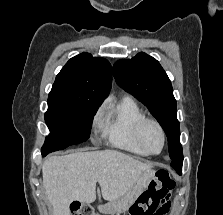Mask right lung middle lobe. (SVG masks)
I'll use <instances>...</instances> for the list:
<instances>
[{
    "instance_id": "1",
    "label": "right lung middle lobe",
    "mask_w": 223,
    "mask_h": 215,
    "mask_svg": "<svg viewBox=\"0 0 223 215\" xmlns=\"http://www.w3.org/2000/svg\"><path fill=\"white\" fill-rule=\"evenodd\" d=\"M98 107V105L48 103L45 122L50 134L41 149L42 155L86 141Z\"/></svg>"
}]
</instances>
